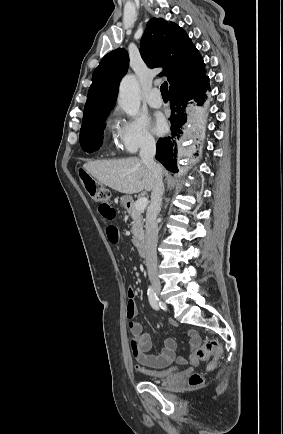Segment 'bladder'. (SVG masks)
I'll use <instances>...</instances> for the list:
<instances>
[{"label":"bladder","mask_w":283,"mask_h":434,"mask_svg":"<svg viewBox=\"0 0 283 434\" xmlns=\"http://www.w3.org/2000/svg\"><path fill=\"white\" fill-rule=\"evenodd\" d=\"M177 372V367H169L166 369H144L142 374L151 380H162L175 375Z\"/></svg>","instance_id":"obj_1"}]
</instances>
